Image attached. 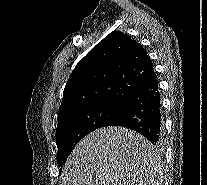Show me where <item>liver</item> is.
Masks as SVG:
<instances>
[{
    "label": "liver",
    "instance_id": "6515ba94",
    "mask_svg": "<svg viewBox=\"0 0 207 185\" xmlns=\"http://www.w3.org/2000/svg\"><path fill=\"white\" fill-rule=\"evenodd\" d=\"M152 145L125 127H101L70 153L61 185H151L155 183Z\"/></svg>",
    "mask_w": 207,
    "mask_h": 185
}]
</instances>
